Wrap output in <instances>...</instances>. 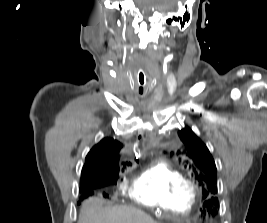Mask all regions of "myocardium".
I'll use <instances>...</instances> for the list:
<instances>
[{"label": "myocardium", "instance_id": "myocardium-1", "mask_svg": "<svg viewBox=\"0 0 267 223\" xmlns=\"http://www.w3.org/2000/svg\"><path fill=\"white\" fill-rule=\"evenodd\" d=\"M186 187L188 191H190L194 196H196L199 193V187L194 182L188 181L186 183Z\"/></svg>", "mask_w": 267, "mask_h": 223}]
</instances>
